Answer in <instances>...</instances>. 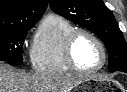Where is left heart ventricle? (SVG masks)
Returning <instances> with one entry per match:
<instances>
[{"label": "left heart ventricle", "instance_id": "1", "mask_svg": "<svg viewBox=\"0 0 127 92\" xmlns=\"http://www.w3.org/2000/svg\"><path fill=\"white\" fill-rule=\"evenodd\" d=\"M73 54L77 66L85 70L98 67L102 61L98 45L87 35H80L76 39Z\"/></svg>", "mask_w": 127, "mask_h": 92}]
</instances>
